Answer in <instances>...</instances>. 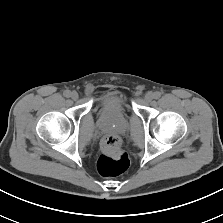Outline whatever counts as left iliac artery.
<instances>
[{
	"label": "left iliac artery",
	"instance_id": "left-iliac-artery-1",
	"mask_svg": "<svg viewBox=\"0 0 223 223\" xmlns=\"http://www.w3.org/2000/svg\"><path fill=\"white\" fill-rule=\"evenodd\" d=\"M161 93L159 91L154 92V99L160 98Z\"/></svg>",
	"mask_w": 223,
	"mask_h": 223
}]
</instances>
